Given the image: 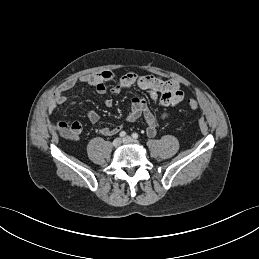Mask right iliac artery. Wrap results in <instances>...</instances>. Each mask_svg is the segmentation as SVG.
Instances as JSON below:
<instances>
[{
    "mask_svg": "<svg viewBox=\"0 0 259 259\" xmlns=\"http://www.w3.org/2000/svg\"><path fill=\"white\" fill-rule=\"evenodd\" d=\"M119 135H120V137H125L126 136V132L125 131H121Z\"/></svg>",
    "mask_w": 259,
    "mask_h": 259,
    "instance_id": "obj_1",
    "label": "right iliac artery"
}]
</instances>
